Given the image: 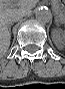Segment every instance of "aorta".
Instances as JSON below:
<instances>
[{"instance_id":"1","label":"aorta","mask_w":65,"mask_h":89,"mask_svg":"<svg viewBox=\"0 0 65 89\" xmlns=\"http://www.w3.org/2000/svg\"><path fill=\"white\" fill-rule=\"evenodd\" d=\"M35 18L40 23H49L52 19L51 10L47 6H40L35 10Z\"/></svg>"}]
</instances>
